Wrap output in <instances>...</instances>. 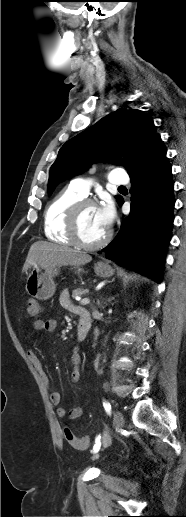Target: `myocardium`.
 <instances>
[{
  "instance_id": "myocardium-1",
  "label": "myocardium",
  "mask_w": 186,
  "mask_h": 517,
  "mask_svg": "<svg viewBox=\"0 0 186 517\" xmlns=\"http://www.w3.org/2000/svg\"><path fill=\"white\" fill-rule=\"evenodd\" d=\"M86 206H96V202L90 198H82L70 208L68 213V233L76 246L87 250L98 249L109 241L111 231L107 230L105 235L95 242H86L83 240L80 235L79 221L81 212Z\"/></svg>"
}]
</instances>
